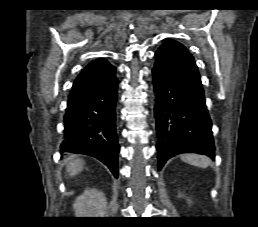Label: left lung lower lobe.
Here are the masks:
<instances>
[{
  "mask_svg": "<svg viewBox=\"0 0 258 227\" xmlns=\"http://www.w3.org/2000/svg\"><path fill=\"white\" fill-rule=\"evenodd\" d=\"M155 58L158 169L179 153L196 152L214 159L212 124L194 58L170 43H163Z\"/></svg>",
  "mask_w": 258,
  "mask_h": 227,
  "instance_id": "0a47b994",
  "label": "left lung lower lobe"
}]
</instances>
